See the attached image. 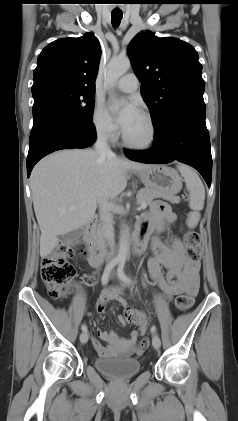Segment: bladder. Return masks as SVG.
<instances>
[{
    "label": "bladder",
    "instance_id": "31cf9c89",
    "mask_svg": "<svg viewBox=\"0 0 238 421\" xmlns=\"http://www.w3.org/2000/svg\"><path fill=\"white\" fill-rule=\"evenodd\" d=\"M94 365L101 373L118 380L132 378L141 370L138 360L122 357H98Z\"/></svg>",
    "mask_w": 238,
    "mask_h": 421
}]
</instances>
